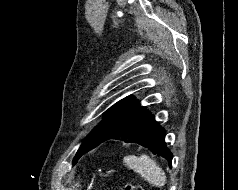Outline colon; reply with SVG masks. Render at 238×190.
<instances>
[{"label":"colon","mask_w":238,"mask_h":190,"mask_svg":"<svg viewBox=\"0 0 238 190\" xmlns=\"http://www.w3.org/2000/svg\"><path fill=\"white\" fill-rule=\"evenodd\" d=\"M124 190H144L140 185L135 183L126 184Z\"/></svg>","instance_id":"1"}]
</instances>
